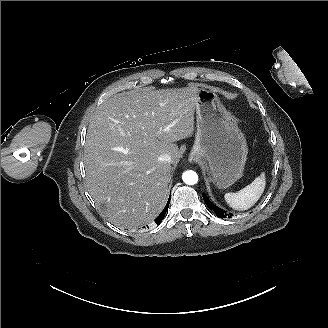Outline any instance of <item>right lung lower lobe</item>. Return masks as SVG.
I'll return each instance as SVG.
<instances>
[{"label": "right lung lower lobe", "instance_id": "1", "mask_svg": "<svg viewBox=\"0 0 328 328\" xmlns=\"http://www.w3.org/2000/svg\"><path fill=\"white\" fill-rule=\"evenodd\" d=\"M169 203H170V198H169L165 208L161 212V214L154 220L157 225H159L161 223V221L163 220V218L165 217V214L168 210Z\"/></svg>", "mask_w": 328, "mask_h": 328}]
</instances>
